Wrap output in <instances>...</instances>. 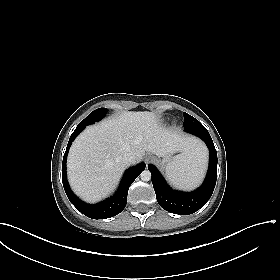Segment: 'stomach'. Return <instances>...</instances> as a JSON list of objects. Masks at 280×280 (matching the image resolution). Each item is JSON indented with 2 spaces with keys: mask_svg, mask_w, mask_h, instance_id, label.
<instances>
[{
  "mask_svg": "<svg viewBox=\"0 0 280 280\" xmlns=\"http://www.w3.org/2000/svg\"><path fill=\"white\" fill-rule=\"evenodd\" d=\"M177 156H173V154H168L167 156L163 157V159L161 161H159V162H160L162 167H166L171 162H173L177 158Z\"/></svg>",
  "mask_w": 280,
  "mask_h": 280,
  "instance_id": "stomach-1",
  "label": "stomach"
}]
</instances>
